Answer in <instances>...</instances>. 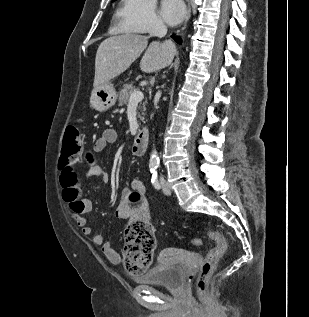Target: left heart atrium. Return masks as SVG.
I'll return each mask as SVG.
<instances>
[{"label": "left heart atrium", "instance_id": "1", "mask_svg": "<svg viewBox=\"0 0 309 317\" xmlns=\"http://www.w3.org/2000/svg\"><path fill=\"white\" fill-rule=\"evenodd\" d=\"M185 12L186 8L183 0H162L161 2V15L170 25L179 23Z\"/></svg>", "mask_w": 309, "mask_h": 317}]
</instances>
